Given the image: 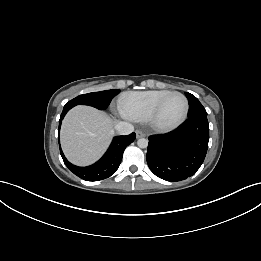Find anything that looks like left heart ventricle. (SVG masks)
<instances>
[{"instance_id": "left-heart-ventricle-1", "label": "left heart ventricle", "mask_w": 261, "mask_h": 261, "mask_svg": "<svg viewBox=\"0 0 261 261\" xmlns=\"http://www.w3.org/2000/svg\"><path fill=\"white\" fill-rule=\"evenodd\" d=\"M183 111V99L179 95H172L161 105L156 120L162 125L172 124L181 117Z\"/></svg>"}]
</instances>
